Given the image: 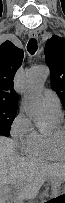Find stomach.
Instances as JSON below:
<instances>
[{"mask_svg": "<svg viewBox=\"0 0 65 203\" xmlns=\"http://www.w3.org/2000/svg\"><path fill=\"white\" fill-rule=\"evenodd\" d=\"M65 177H63V182H60L59 180L55 179L53 181V184H60V183H64Z\"/></svg>", "mask_w": 65, "mask_h": 203, "instance_id": "obj_1", "label": "stomach"}]
</instances>
